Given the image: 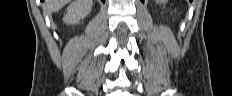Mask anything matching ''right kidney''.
Here are the masks:
<instances>
[{
	"label": "right kidney",
	"mask_w": 232,
	"mask_h": 96,
	"mask_svg": "<svg viewBox=\"0 0 232 96\" xmlns=\"http://www.w3.org/2000/svg\"><path fill=\"white\" fill-rule=\"evenodd\" d=\"M92 9V0H74L67 8L63 21L67 24H76L85 18Z\"/></svg>",
	"instance_id": "ca27d5eb"
}]
</instances>
